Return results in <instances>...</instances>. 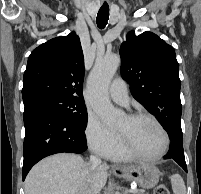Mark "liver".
Segmentation results:
<instances>
[{
    "instance_id": "liver-1",
    "label": "liver",
    "mask_w": 201,
    "mask_h": 194,
    "mask_svg": "<svg viewBox=\"0 0 201 194\" xmlns=\"http://www.w3.org/2000/svg\"><path fill=\"white\" fill-rule=\"evenodd\" d=\"M109 166L88 165L81 156L61 153L37 163L25 179V194H80L87 187L99 194L105 186Z\"/></svg>"
}]
</instances>
